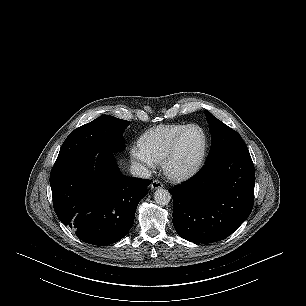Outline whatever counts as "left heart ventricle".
<instances>
[{"label": "left heart ventricle", "instance_id": "1", "mask_svg": "<svg viewBox=\"0 0 306 306\" xmlns=\"http://www.w3.org/2000/svg\"><path fill=\"white\" fill-rule=\"evenodd\" d=\"M204 138L198 129H190L184 136L179 157L176 161L177 168H187L193 165L202 153Z\"/></svg>", "mask_w": 306, "mask_h": 306}]
</instances>
